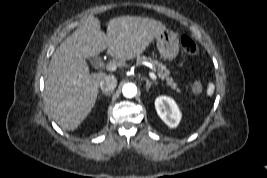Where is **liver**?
Instances as JSON below:
<instances>
[{
  "instance_id": "6515ba94",
  "label": "liver",
  "mask_w": 267,
  "mask_h": 178,
  "mask_svg": "<svg viewBox=\"0 0 267 178\" xmlns=\"http://www.w3.org/2000/svg\"><path fill=\"white\" fill-rule=\"evenodd\" d=\"M166 27L154 19L124 16L108 22L107 33L100 21L89 16L63 41L51 57L45 75L44 102L48 115L64 130L73 131L95 105L105 73L90 74L86 59L107 54L123 66L142 54Z\"/></svg>"
}]
</instances>
